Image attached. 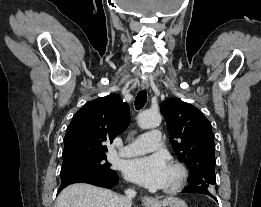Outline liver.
Instances as JSON below:
<instances>
[{
	"instance_id": "1",
	"label": "liver",
	"mask_w": 261,
	"mask_h": 207,
	"mask_svg": "<svg viewBox=\"0 0 261 207\" xmlns=\"http://www.w3.org/2000/svg\"><path fill=\"white\" fill-rule=\"evenodd\" d=\"M119 195L86 183L67 186L59 194L55 207H118Z\"/></svg>"
}]
</instances>
